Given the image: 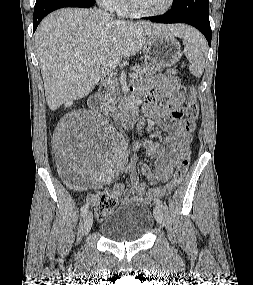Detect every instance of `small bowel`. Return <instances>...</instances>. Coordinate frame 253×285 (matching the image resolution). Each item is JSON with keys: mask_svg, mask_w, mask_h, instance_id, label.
Segmentation results:
<instances>
[{"mask_svg": "<svg viewBox=\"0 0 253 285\" xmlns=\"http://www.w3.org/2000/svg\"><path fill=\"white\" fill-rule=\"evenodd\" d=\"M132 94L144 105L146 117L162 130L170 133L165 138L167 147L159 142L144 138L141 143L135 146L136 155L125 169L131 179V186L125 201L148 204L154 197L163 196L165 193L161 192L152 197L145 183L140 182L136 171L137 154L142 149H146L148 154L156 159L154 169L149 164H143L141 167V173L149 184L157 185L168 181L191 142V132L195 128V122H191L183 116V104L186 96L180 90V80L175 76L157 75L146 82L135 85L132 88ZM59 151L61 154H65L66 145L62 144ZM124 190L123 183L115 184L112 189L117 197Z\"/></svg>", "mask_w": 253, "mask_h": 285, "instance_id": "obj_1", "label": "small bowel"}]
</instances>
